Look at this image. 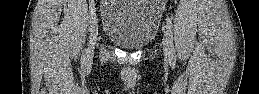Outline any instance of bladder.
Returning <instances> with one entry per match:
<instances>
[{"instance_id": "bladder-1", "label": "bladder", "mask_w": 259, "mask_h": 94, "mask_svg": "<svg viewBox=\"0 0 259 94\" xmlns=\"http://www.w3.org/2000/svg\"><path fill=\"white\" fill-rule=\"evenodd\" d=\"M161 7L149 0H109L102 8L104 35L121 48L139 50L156 36Z\"/></svg>"}]
</instances>
